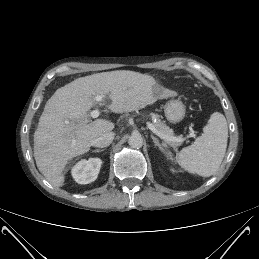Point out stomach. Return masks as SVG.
<instances>
[{
    "label": "stomach",
    "instance_id": "stomach-1",
    "mask_svg": "<svg viewBox=\"0 0 259 259\" xmlns=\"http://www.w3.org/2000/svg\"><path fill=\"white\" fill-rule=\"evenodd\" d=\"M185 106L179 100H170L166 103L164 113L167 120L171 123H178L185 116Z\"/></svg>",
    "mask_w": 259,
    "mask_h": 259
}]
</instances>
